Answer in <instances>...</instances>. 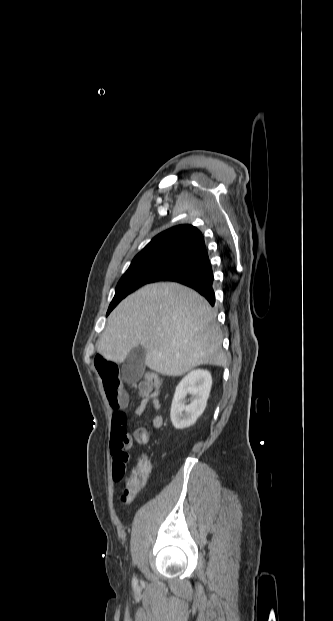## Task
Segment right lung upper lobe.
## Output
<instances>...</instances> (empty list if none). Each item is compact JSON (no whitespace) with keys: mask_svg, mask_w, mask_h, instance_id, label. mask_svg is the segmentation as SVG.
<instances>
[{"mask_svg":"<svg viewBox=\"0 0 333 621\" xmlns=\"http://www.w3.org/2000/svg\"><path fill=\"white\" fill-rule=\"evenodd\" d=\"M203 247L204 237L196 227L178 225L155 236L132 263L169 257L187 259Z\"/></svg>","mask_w":333,"mask_h":621,"instance_id":"cb5924a9","label":"right lung upper lobe"}]
</instances>
